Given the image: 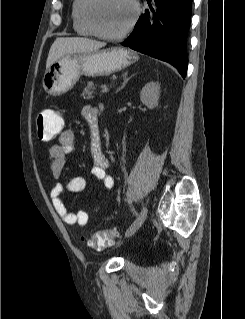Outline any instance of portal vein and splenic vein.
<instances>
[{"instance_id":"18ae733b","label":"portal vein and splenic vein","mask_w":245,"mask_h":319,"mask_svg":"<svg viewBox=\"0 0 245 319\" xmlns=\"http://www.w3.org/2000/svg\"><path fill=\"white\" fill-rule=\"evenodd\" d=\"M101 93H102V94H107V93H109V88H108V87L103 88V89L101 90Z\"/></svg>"}]
</instances>
